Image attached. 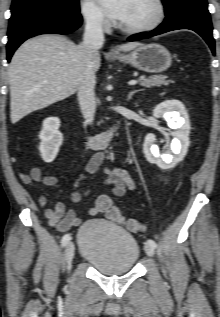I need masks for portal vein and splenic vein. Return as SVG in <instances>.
Returning <instances> with one entry per match:
<instances>
[{"mask_svg":"<svg viewBox=\"0 0 220 317\" xmlns=\"http://www.w3.org/2000/svg\"><path fill=\"white\" fill-rule=\"evenodd\" d=\"M137 83H138V81L131 80V81L128 82V85L133 86V85H136Z\"/></svg>","mask_w":220,"mask_h":317,"instance_id":"18ae733b","label":"portal vein and splenic vein"}]
</instances>
